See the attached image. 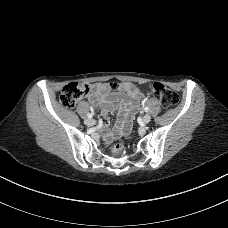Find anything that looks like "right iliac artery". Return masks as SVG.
<instances>
[{
	"label": "right iliac artery",
	"instance_id": "1",
	"mask_svg": "<svg viewBox=\"0 0 228 228\" xmlns=\"http://www.w3.org/2000/svg\"><path fill=\"white\" fill-rule=\"evenodd\" d=\"M87 117H88V118H92V117H93V113H88V114H87Z\"/></svg>",
	"mask_w": 228,
	"mask_h": 228
}]
</instances>
